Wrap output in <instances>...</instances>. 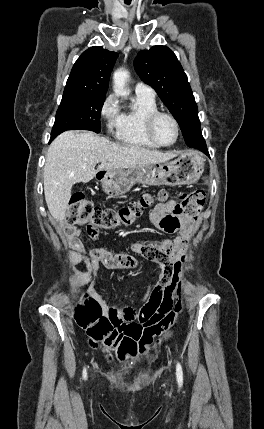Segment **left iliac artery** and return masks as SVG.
Listing matches in <instances>:
<instances>
[{"label":"left iliac artery","instance_id":"obj_1","mask_svg":"<svg viewBox=\"0 0 264 429\" xmlns=\"http://www.w3.org/2000/svg\"><path fill=\"white\" fill-rule=\"evenodd\" d=\"M176 375H177V380L180 384L183 383V371H182V367L180 365V363H177L176 365Z\"/></svg>","mask_w":264,"mask_h":429}]
</instances>
